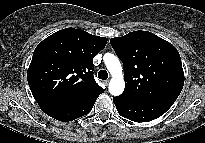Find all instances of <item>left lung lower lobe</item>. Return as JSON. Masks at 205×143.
<instances>
[{"label":"left lung lower lobe","instance_id":"1","mask_svg":"<svg viewBox=\"0 0 205 143\" xmlns=\"http://www.w3.org/2000/svg\"><path fill=\"white\" fill-rule=\"evenodd\" d=\"M176 96H161L146 100H131L120 96L113 102L119 114L134 122H147L163 115L175 102Z\"/></svg>","mask_w":205,"mask_h":143}]
</instances>
